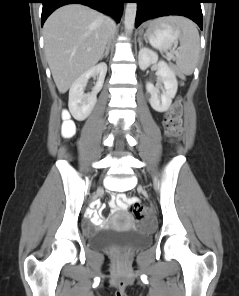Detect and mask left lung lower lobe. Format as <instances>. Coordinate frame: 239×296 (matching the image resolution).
<instances>
[{
    "instance_id": "obj_1",
    "label": "left lung lower lobe",
    "mask_w": 239,
    "mask_h": 296,
    "mask_svg": "<svg viewBox=\"0 0 239 296\" xmlns=\"http://www.w3.org/2000/svg\"><path fill=\"white\" fill-rule=\"evenodd\" d=\"M134 2L137 3L135 27L151 18L180 15L193 20L201 30L203 28L200 6L203 0H134Z\"/></svg>"
}]
</instances>
